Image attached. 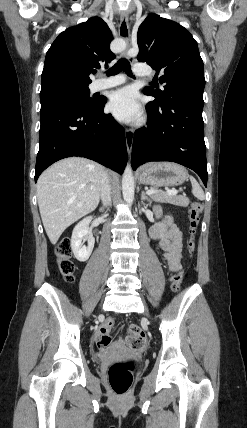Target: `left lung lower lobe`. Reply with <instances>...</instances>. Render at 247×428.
<instances>
[{
  "instance_id": "1",
  "label": "left lung lower lobe",
  "mask_w": 247,
  "mask_h": 428,
  "mask_svg": "<svg viewBox=\"0 0 247 428\" xmlns=\"http://www.w3.org/2000/svg\"><path fill=\"white\" fill-rule=\"evenodd\" d=\"M147 128L136 131L132 167L150 161H171L194 170L207 186L203 104L176 98L161 106L148 103Z\"/></svg>"
}]
</instances>
